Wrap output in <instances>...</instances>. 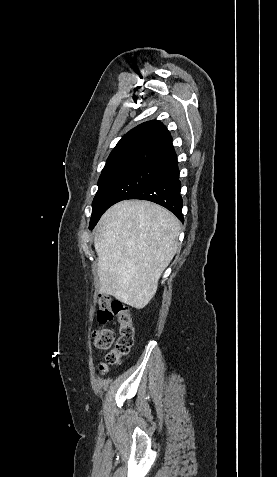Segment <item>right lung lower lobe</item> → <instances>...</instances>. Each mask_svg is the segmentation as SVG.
I'll list each match as a JSON object with an SVG mask.
<instances>
[{"instance_id": "98d812e1", "label": "right lung lower lobe", "mask_w": 277, "mask_h": 477, "mask_svg": "<svg viewBox=\"0 0 277 477\" xmlns=\"http://www.w3.org/2000/svg\"><path fill=\"white\" fill-rule=\"evenodd\" d=\"M181 182L177 156L165 163L154 177L142 188L132 194L129 199H142L155 202L173 212L184 221L182 214L183 201L180 195Z\"/></svg>"}]
</instances>
